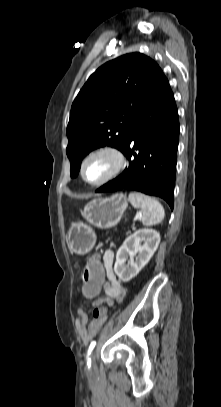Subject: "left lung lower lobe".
<instances>
[{
  "instance_id": "left-lung-lower-lobe-1",
  "label": "left lung lower lobe",
  "mask_w": 221,
  "mask_h": 407,
  "mask_svg": "<svg viewBox=\"0 0 221 407\" xmlns=\"http://www.w3.org/2000/svg\"><path fill=\"white\" fill-rule=\"evenodd\" d=\"M179 131L174 95L164 77L129 131L122 151L128 167L96 192L136 190L161 197L173 209Z\"/></svg>"
}]
</instances>
